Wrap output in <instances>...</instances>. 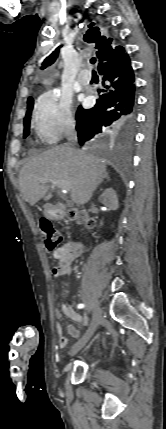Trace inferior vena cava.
<instances>
[{
	"mask_svg": "<svg viewBox=\"0 0 166 429\" xmlns=\"http://www.w3.org/2000/svg\"><path fill=\"white\" fill-rule=\"evenodd\" d=\"M68 141L70 142L71 145H74L77 141V136L74 131V128H71L68 132Z\"/></svg>",
	"mask_w": 166,
	"mask_h": 429,
	"instance_id": "602c4592",
	"label": "inferior vena cava"
}]
</instances>
